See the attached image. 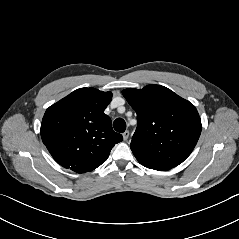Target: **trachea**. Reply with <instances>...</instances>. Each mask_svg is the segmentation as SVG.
<instances>
[{"instance_id": "trachea-1", "label": "trachea", "mask_w": 239, "mask_h": 239, "mask_svg": "<svg viewBox=\"0 0 239 239\" xmlns=\"http://www.w3.org/2000/svg\"><path fill=\"white\" fill-rule=\"evenodd\" d=\"M113 127L117 132L123 133L126 130V122L122 118L115 119Z\"/></svg>"}]
</instances>
